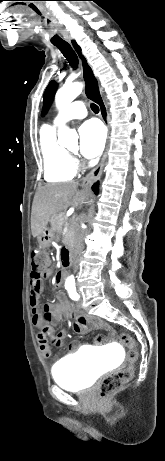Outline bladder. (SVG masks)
I'll use <instances>...</instances> for the list:
<instances>
[{
	"instance_id": "31cf9c89",
	"label": "bladder",
	"mask_w": 165,
	"mask_h": 461,
	"mask_svg": "<svg viewBox=\"0 0 165 461\" xmlns=\"http://www.w3.org/2000/svg\"><path fill=\"white\" fill-rule=\"evenodd\" d=\"M106 361L100 360L94 351H79L56 363L52 377L61 387L71 391H82L94 383L105 371Z\"/></svg>"
}]
</instances>
